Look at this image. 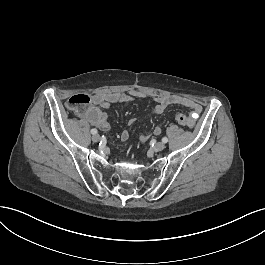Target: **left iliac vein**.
Segmentation results:
<instances>
[{
	"label": "left iliac vein",
	"mask_w": 265,
	"mask_h": 265,
	"mask_svg": "<svg viewBox=\"0 0 265 265\" xmlns=\"http://www.w3.org/2000/svg\"><path fill=\"white\" fill-rule=\"evenodd\" d=\"M165 148V143L159 142L154 146V149L156 151H162Z\"/></svg>",
	"instance_id": "4c4485c4"
}]
</instances>
